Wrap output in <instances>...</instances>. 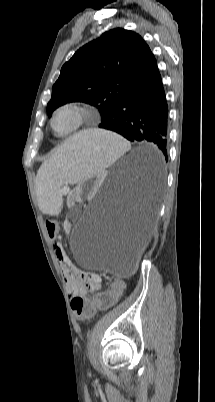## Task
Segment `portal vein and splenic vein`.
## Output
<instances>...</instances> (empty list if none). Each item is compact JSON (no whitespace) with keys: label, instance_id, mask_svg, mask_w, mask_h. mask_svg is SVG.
Returning <instances> with one entry per match:
<instances>
[{"label":"portal vein and splenic vein","instance_id":"18ae733b","mask_svg":"<svg viewBox=\"0 0 215 402\" xmlns=\"http://www.w3.org/2000/svg\"><path fill=\"white\" fill-rule=\"evenodd\" d=\"M62 192L66 193V189H63Z\"/></svg>","mask_w":215,"mask_h":402}]
</instances>
